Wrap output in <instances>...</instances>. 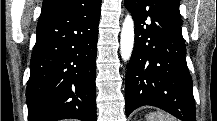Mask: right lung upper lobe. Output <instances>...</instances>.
Segmentation results:
<instances>
[{"mask_svg":"<svg viewBox=\"0 0 217 121\" xmlns=\"http://www.w3.org/2000/svg\"><path fill=\"white\" fill-rule=\"evenodd\" d=\"M81 0H44L41 13L77 5Z\"/></svg>","mask_w":217,"mask_h":121,"instance_id":"1","label":"right lung upper lobe"}]
</instances>
